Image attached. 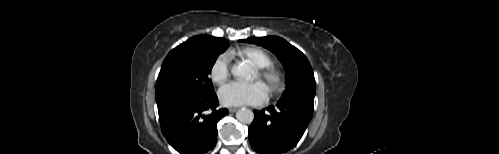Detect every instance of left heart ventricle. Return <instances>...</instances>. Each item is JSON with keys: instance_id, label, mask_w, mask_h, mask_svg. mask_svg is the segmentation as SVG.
I'll use <instances>...</instances> for the list:
<instances>
[{"instance_id": "obj_1", "label": "left heart ventricle", "mask_w": 499, "mask_h": 154, "mask_svg": "<svg viewBox=\"0 0 499 154\" xmlns=\"http://www.w3.org/2000/svg\"><path fill=\"white\" fill-rule=\"evenodd\" d=\"M257 78H258V74H256V76H255V79H257Z\"/></svg>"}]
</instances>
